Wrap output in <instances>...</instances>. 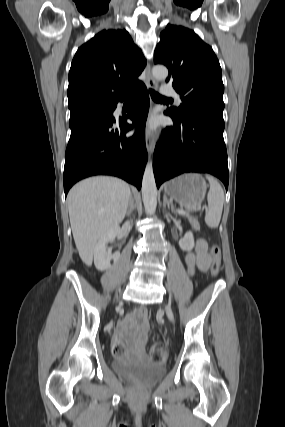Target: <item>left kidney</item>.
Segmentation results:
<instances>
[{
	"label": "left kidney",
	"mask_w": 285,
	"mask_h": 427,
	"mask_svg": "<svg viewBox=\"0 0 285 427\" xmlns=\"http://www.w3.org/2000/svg\"><path fill=\"white\" fill-rule=\"evenodd\" d=\"M179 246L183 251H191L194 248V236L191 231L185 234V236L180 239Z\"/></svg>",
	"instance_id": "1"
}]
</instances>
